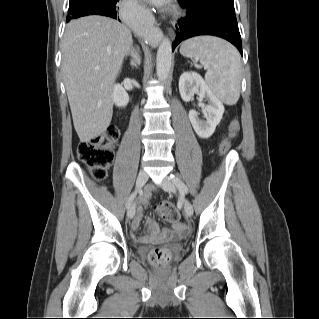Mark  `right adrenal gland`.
Listing matches in <instances>:
<instances>
[{"mask_svg":"<svg viewBox=\"0 0 319 319\" xmlns=\"http://www.w3.org/2000/svg\"><path fill=\"white\" fill-rule=\"evenodd\" d=\"M127 55H129L131 57L130 65L132 66V68H134V67L138 68V66L141 63V58H140V55H139L137 49H135L133 44L131 45L130 51L127 53Z\"/></svg>","mask_w":319,"mask_h":319,"instance_id":"right-adrenal-gland-1","label":"right adrenal gland"}]
</instances>
